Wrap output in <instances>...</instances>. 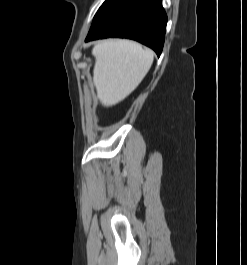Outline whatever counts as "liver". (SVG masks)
Segmentation results:
<instances>
[{
  "label": "liver",
  "instance_id": "liver-1",
  "mask_svg": "<svg viewBox=\"0 0 247 265\" xmlns=\"http://www.w3.org/2000/svg\"><path fill=\"white\" fill-rule=\"evenodd\" d=\"M93 82L97 98L109 107L124 100L141 83L154 59V52L137 42L111 39L97 43Z\"/></svg>",
  "mask_w": 247,
  "mask_h": 265
}]
</instances>
